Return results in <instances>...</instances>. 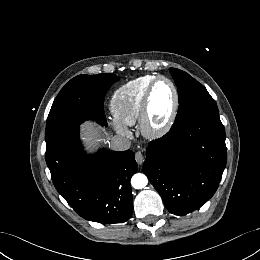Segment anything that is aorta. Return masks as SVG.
Here are the masks:
<instances>
[{"instance_id":"1","label":"aorta","mask_w":260,"mask_h":260,"mask_svg":"<svg viewBox=\"0 0 260 260\" xmlns=\"http://www.w3.org/2000/svg\"><path fill=\"white\" fill-rule=\"evenodd\" d=\"M147 183H148V179L146 175L142 173H136L131 178V185L135 189H143L146 187Z\"/></svg>"}]
</instances>
